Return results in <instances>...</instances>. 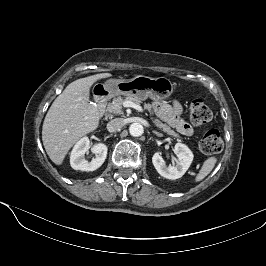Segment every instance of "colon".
<instances>
[{
    "mask_svg": "<svg viewBox=\"0 0 266 266\" xmlns=\"http://www.w3.org/2000/svg\"><path fill=\"white\" fill-rule=\"evenodd\" d=\"M190 119L196 126L207 124L212 119L210 108L200 99L190 104ZM200 150L204 154H216L222 150L223 141L217 129L208 130L199 143Z\"/></svg>",
    "mask_w": 266,
    "mask_h": 266,
    "instance_id": "colon-1",
    "label": "colon"
}]
</instances>
